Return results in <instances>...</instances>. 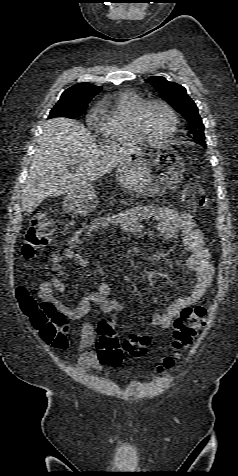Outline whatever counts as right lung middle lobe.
<instances>
[{
    "label": "right lung middle lobe",
    "instance_id": "1",
    "mask_svg": "<svg viewBox=\"0 0 238 476\" xmlns=\"http://www.w3.org/2000/svg\"><path fill=\"white\" fill-rule=\"evenodd\" d=\"M88 105L79 104L69 100H59L58 103L50 111L48 118L53 117H69L77 118L81 116Z\"/></svg>",
    "mask_w": 238,
    "mask_h": 476
}]
</instances>
